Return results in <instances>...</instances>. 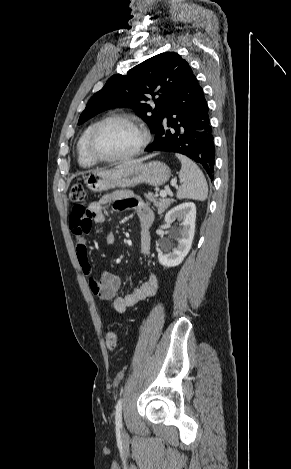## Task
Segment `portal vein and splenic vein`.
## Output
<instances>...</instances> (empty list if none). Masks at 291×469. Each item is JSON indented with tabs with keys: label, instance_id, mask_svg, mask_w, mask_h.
Returning <instances> with one entry per match:
<instances>
[{
	"label": "portal vein and splenic vein",
	"instance_id": "portal-vein-and-splenic-vein-1",
	"mask_svg": "<svg viewBox=\"0 0 291 469\" xmlns=\"http://www.w3.org/2000/svg\"><path fill=\"white\" fill-rule=\"evenodd\" d=\"M176 183H177L176 180H172V182H171L172 186H175ZM167 194H168V191H167V190H162V191H160V196H161V197H166Z\"/></svg>",
	"mask_w": 291,
	"mask_h": 469
}]
</instances>
